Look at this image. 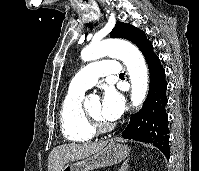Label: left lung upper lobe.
I'll return each instance as SVG.
<instances>
[{"instance_id":"left-lung-upper-lobe-1","label":"left lung upper lobe","mask_w":199,"mask_h":171,"mask_svg":"<svg viewBox=\"0 0 199 171\" xmlns=\"http://www.w3.org/2000/svg\"><path fill=\"white\" fill-rule=\"evenodd\" d=\"M110 37L127 39L138 46L140 50L149 42L142 30L123 22L116 23L114 29L110 32Z\"/></svg>"}]
</instances>
